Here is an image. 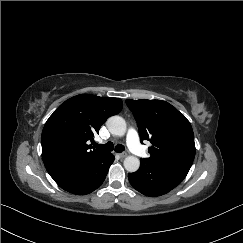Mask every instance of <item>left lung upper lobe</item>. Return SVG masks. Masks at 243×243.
<instances>
[{"mask_svg": "<svg viewBox=\"0 0 243 243\" xmlns=\"http://www.w3.org/2000/svg\"><path fill=\"white\" fill-rule=\"evenodd\" d=\"M126 104L137 121L141 142L149 140V158L142 164L195 157L194 134L190 122L174 106L162 100H131Z\"/></svg>", "mask_w": 243, "mask_h": 243, "instance_id": "left-lung-upper-lobe-1", "label": "left lung upper lobe"}]
</instances>
